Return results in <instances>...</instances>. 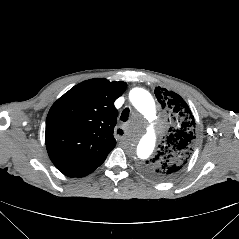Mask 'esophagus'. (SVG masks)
Segmentation results:
<instances>
[{"label": "esophagus", "instance_id": "obj_1", "mask_svg": "<svg viewBox=\"0 0 239 239\" xmlns=\"http://www.w3.org/2000/svg\"><path fill=\"white\" fill-rule=\"evenodd\" d=\"M125 134V129L123 127H118L116 130V135L119 138H122Z\"/></svg>", "mask_w": 239, "mask_h": 239}]
</instances>
